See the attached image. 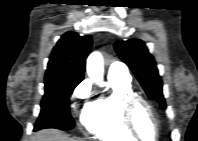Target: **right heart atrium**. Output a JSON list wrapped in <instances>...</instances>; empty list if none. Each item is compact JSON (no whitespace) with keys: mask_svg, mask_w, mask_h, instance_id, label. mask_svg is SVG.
Returning <instances> with one entry per match:
<instances>
[{"mask_svg":"<svg viewBox=\"0 0 198 141\" xmlns=\"http://www.w3.org/2000/svg\"><path fill=\"white\" fill-rule=\"evenodd\" d=\"M91 95V85L88 81H82L76 86L71 97V108L75 109L77 105H81L83 114L86 111L88 100Z\"/></svg>","mask_w":198,"mask_h":141,"instance_id":"obj_1","label":"right heart atrium"}]
</instances>
